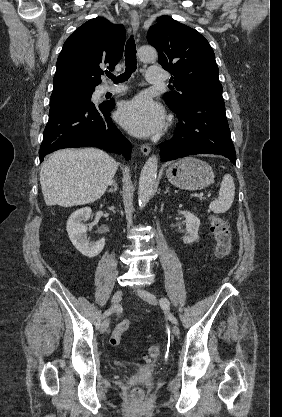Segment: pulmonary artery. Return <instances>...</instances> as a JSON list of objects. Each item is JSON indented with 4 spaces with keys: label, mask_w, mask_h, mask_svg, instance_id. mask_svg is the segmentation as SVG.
<instances>
[{
    "label": "pulmonary artery",
    "mask_w": 282,
    "mask_h": 417,
    "mask_svg": "<svg viewBox=\"0 0 282 417\" xmlns=\"http://www.w3.org/2000/svg\"><path fill=\"white\" fill-rule=\"evenodd\" d=\"M163 67L162 65H149L148 66V73L146 75V82L147 83H164L165 76L162 74ZM125 88L123 87H108L106 89L107 92L118 93L124 91Z\"/></svg>",
    "instance_id": "pulmonary-artery-1"
}]
</instances>
